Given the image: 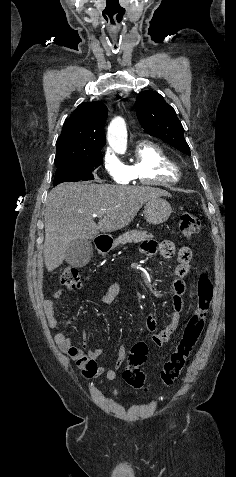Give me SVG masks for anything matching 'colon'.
<instances>
[{"mask_svg":"<svg viewBox=\"0 0 236 477\" xmlns=\"http://www.w3.org/2000/svg\"><path fill=\"white\" fill-rule=\"evenodd\" d=\"M179 232L184 238L195 236L200 230V220L190 212H184L179 218ZM63 286L71 289L80 288L83 280L74 267H66L60 276ZM213 284L206 272L201 273L197 282L196 307L179 335L175 350L163 364L160 380L165 386H171L181 375V372L196 346L204 329L205 320L211 305ZM148 347L143 342H138L131 348L128 361L129 365L123 372V378L133 388L145 387V372L140 366L146 361Z\"/></svg>","mask_w":236,"mask_h":477,"instance_id":"5ec220e1","label":"colon"}]
</instances>
